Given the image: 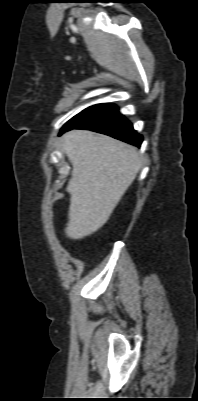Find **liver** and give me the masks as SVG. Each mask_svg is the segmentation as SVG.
I'll return each instance as SVG.
<instances>
[{"label": "liver", "mask_w": 198, "mask_h": 401, "mask_svg": "<svg viewBox=\"0 0 198 401\" xmlns=\"http://www.w3.org/2000/svg\"><path fill=\"white\" fill-rule=\"evenodd\" d=\"M72 164L66 236L82 239L101 228L139 172L137 149L109 136L72 130L62 137Z\"/></svg>", "instance_id": "6515ba94"}]
</instances>
